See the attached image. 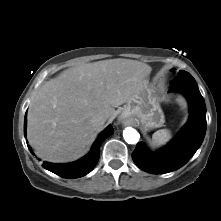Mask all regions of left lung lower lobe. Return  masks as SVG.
<instances>
[{"instance_id":"1","label":"left lung lower lobe","mask_w":221,"mask_h":221,"mask_svg":"<svg viewBox=\"0 0 221 221\" xmlns=\"http://www.w3.org/2000/svg\"><path fill=\"white\" fill-rule=\"evenodd\" d=\"M171 91L185 95L190 106V117L184 128L166 147L151 152L138 143L132 159L142 170L152 174L172 172L185 165L203 142L206 133V106L198 86L191 75L171 82Z\"/></svg>"}]
</instances>
